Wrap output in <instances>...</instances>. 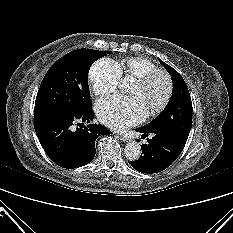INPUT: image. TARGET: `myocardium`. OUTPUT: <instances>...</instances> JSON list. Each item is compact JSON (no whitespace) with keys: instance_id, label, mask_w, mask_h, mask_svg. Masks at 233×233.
Here are the masks:
<instances>
[{"instance_id":"f54148a6","label":"myocardium","mask_w":233,"mask_h":233,"mask_svg":"<svg viewBox=\"0 0 233 233\" xmlns=\"http://www.w3.org/2000/svg\"><path fill=\"white\" fill-rule=\"evenodd\" d=\"M156 76H162L165 79L166 84H167V91H166V95L164 99L162 100V102L156 107L147 111V115L149 116H155L161 113L168 106L173 96V90H174L173 80L166 71L161 70V69L149 71L143 74L142 76L135 78V82L138 85L144 86Z\"/></svg>"}]
</instances>
